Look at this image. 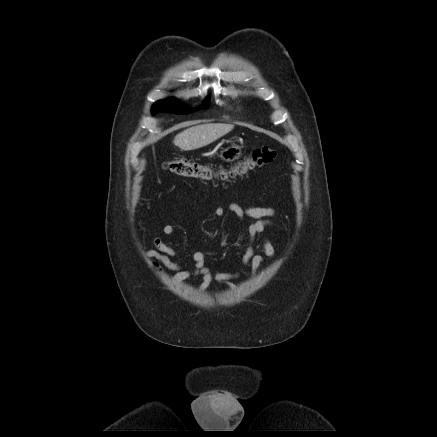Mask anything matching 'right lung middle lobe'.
Listing matches in <instances>:
<instances>
[{
	"label": "right lung middle lobe",
	"instance_id": "1",
	"mask_svg": "<svg viewBox=\"0 0 437 437\" xmlns=\"http://www.w3.org/2000/svg\"><path fill=\"white\" fill-rule=\"evenodd\" d=\"M208 103H209V99H206L204 103L200 106V108L205 109ZM159 112H169L175 114L187 113V111L175 99L157 101L152 106V114L155 115L156 113Z\"/></svg>",
	"mask_w": 437,
	"mask_h": 437
}]
</instances>
